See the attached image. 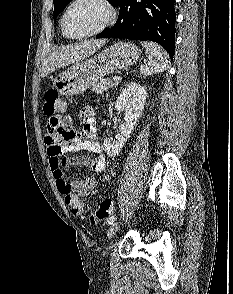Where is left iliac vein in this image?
<instances>
[{
  "label": "left iliac vein",
  "mask_w": 233,
  "mask_h": 294,
  "mask_svg": "<svg viewBox=\"0 0 233 294\" xmlns=\"http://www.w3.org/2000/svg\"><path fill=\"white\" fill-rule=\"evenodd\" d=\"M119 227H120V222H118V221L111 224V226L108 229V233H107L109 239H111L115 235V233L118 231Z\"/></svg>",
  "instance_id": "left-iliac-vein-1"
}]
</instances>
